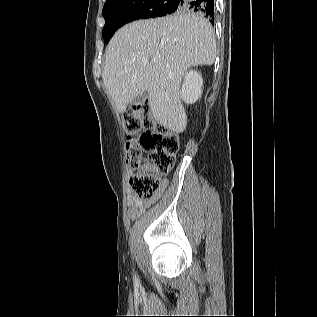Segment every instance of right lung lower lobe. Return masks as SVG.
Masks as SVG:
<instances>
[{
  "instance_id": "1",
  "label": "right lung lower lobe",
  "mask_w": 317,
  "mask_h": 317,
  "mask_svg": "<svg viewBox=\"0 0 317 317\" xmlns=\"http://www.w3.org/2000/svg\"><path fill=\"white\" fill-rule=\"evenodd\" d=\"M173 6L178 11H192L205 14L213 23L214 0H174Z\"/></svg>"
}]
</instances>
